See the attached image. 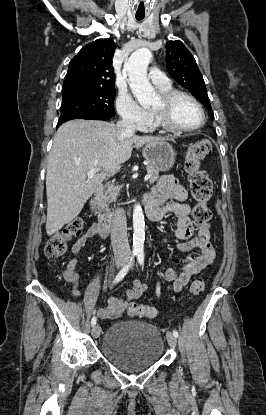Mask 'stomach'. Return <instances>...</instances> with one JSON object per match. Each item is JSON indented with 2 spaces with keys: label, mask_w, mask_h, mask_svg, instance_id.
<instances>
[{
  "label": "stomach",
  "mask_w": 266,
  "mask_h": 415,
  "mask_svg": "<svg viewBox=\"0 0 266 415\" xmlns=\"http://www.w3.org/2000/svg\"><path fill=\"white\" fill-rule=\"evenodd\" d=\"M143 156L158 171H167L174 165L176 153L168 142L155 141L145 145Z\"/></svg>",
  "instance_id": "0dacf381"
}]
</instances>
